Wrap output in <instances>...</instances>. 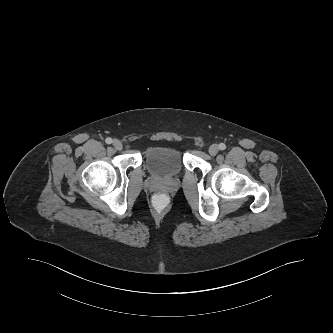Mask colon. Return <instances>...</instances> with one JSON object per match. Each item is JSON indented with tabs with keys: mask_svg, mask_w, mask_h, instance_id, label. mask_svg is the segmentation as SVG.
Returning a JSON list of instances; mask_svg holds the SVG:
<instances>
[{
	"mask_svg": "<svg viewBox=\"0 0 333 333\" xmlns=\"http://www.w3.org/2000/svg\"><path fill=\"white\" fill-rule=\"evenodd\" d=\"M169 201L168 194L163 191H158L154 194L151 199L152 208L157 213H162L167 208V203Z\"/></svg>",
	"mask_w": 333,
	"mask_h": 333,
	"instance_id": "1",
	"label": "colon"
}]
</instances>
